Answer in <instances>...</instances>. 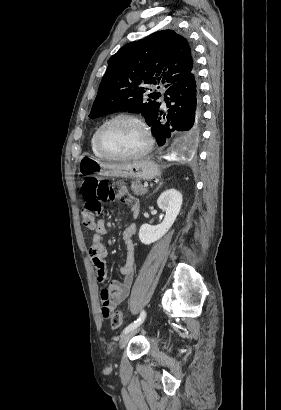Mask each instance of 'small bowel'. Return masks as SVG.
Returning <instances> with one entry per match:
<instances>
[{
	"label": "small bowel",
	"instance_id": "obj_1",
	"mask_svg": "<svg viewBox=\"0 0 281 410\" xmlns=\"http://www.w3.org/2000/svg\"><path fill=\"white\" fill-rule=\"evenodd\" d=\"M120 199L130 209L132 215L134 217H137L140 211L137 199L129 194L122 195ZM136 230V224L130 223L126 227L124 232L127 257L126 263L120 268V273L123 276V281H111L109 288L103 289L100 293L101 314L104 318H108L111 314V311L118 305L123 303L130 293L136 265V251L133 242V237L136 233ZM106 233L107 227L105 220H97V222L95 223V233L89 247V257L96 270L97 279L100 282H104L108 275L105 262L108 250L103 242V237Z\"/></svg>",
	"mask_w": 281,
	"mask_h": 410
}]
</instances>
